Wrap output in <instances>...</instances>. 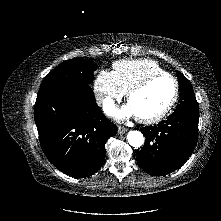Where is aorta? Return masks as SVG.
Here are the masks:
<instances>
[{"instance_id":"1","label":"aorta","mask_w":221,"mask_h":221,"mask_svg":"<svg viewBox=\"0 0 221 221\" xmlns=\"http://www.w3.org/2000/svg\"><path fill=\"white\" fill-rule=\"evenodd\" d=\"M128 143L135 148H139L144 144V136L140 131L133 130L127 135Z\"/></svg>"}]
</instances>
